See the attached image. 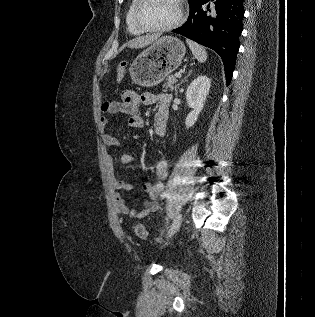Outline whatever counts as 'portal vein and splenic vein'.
Instances as JSON below:
<instances>
[{
	"instance_id": "portal-vein-and-splenic-vein-1",
	"label": "portal vein and splenic vein",
	"mask_w": 315,
	"mask_h": 317,
	"mask_svg": "<svg viewBox=\"0 0 315 317\" xmlns=\"http://www.w3.org/2000/svg\"><path fill=\"white\" fill-rule=\"evenodd\" d=\"M181 73H182V71L177 72V73L175 74V77L180 78V77H181Z\"/></svg>"
}]
</instances>
